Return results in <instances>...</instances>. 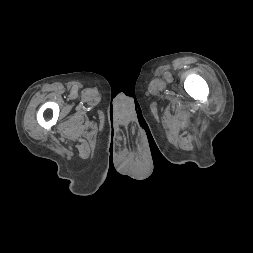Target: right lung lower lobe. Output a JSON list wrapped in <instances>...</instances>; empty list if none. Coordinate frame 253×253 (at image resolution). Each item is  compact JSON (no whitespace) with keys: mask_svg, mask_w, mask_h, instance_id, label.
<instances>
[{"mask_svg":"<svg viewBox=\"0 0 253 253\" xmlns=\"http://www.w3.org/2000/svg\"><path fill=\"white\" fill-rule=\"evenodd\" d=\"M152 155H153L154 158L162 156L157 148L152 149Z\"/></svg>","mask_w":253,"mask_h":253,"instance_id":"1","label":"right lung lower lobe"}]
</instances>
